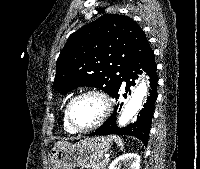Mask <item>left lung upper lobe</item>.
I'll list each match as a JSON object with an SVG mask.
<instances>
[{
    "label": "left lung upper lobe",
    "instance_id": "left-lung-upper-lobe-1",
    "mask_svg": "<svg viewBox=\"0 0 200 169\" xmlns=\"http://www.w3.org/2000/svg\"><path fill=\"white\" fill-rule=\"evenodd\" d=\"M150 49L143 30L130 17L106 14L72 33L56 65L53 88L98 87L113 96L128 69Z\"/></svg>",
    "mask_w": 200,
    "mask_h": 169
}]
</instances>
